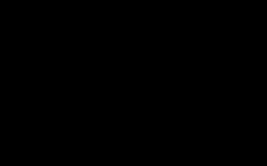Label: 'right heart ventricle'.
<instances>
[{
  "instance_id": "e07e8e85",
  "label": "right heart ventricle",
  "mask_w": 267,
  "mask_h": 166,
  "mask_svg": "<svg viewBox=\"0 0 267 166\" xmlns=\"http://www.w3.org/2000/svg\"><path fill=\"white\" fill-rule=\"evenodd\" d=\"M128 29L127 30H124V31H121L117 37H116V40L120 43H123L127 38V33H128Z\"/></svg>"
}]
</instances>
